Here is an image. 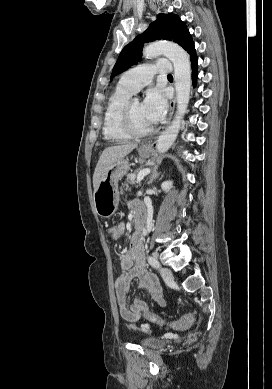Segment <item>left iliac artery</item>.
Instances as JSON below:
<instances>
[{"label":"left iliac artery","mask_w":272,"mask_h":389,"mask_svg":"<svg viewBox=\"0 0 272 389\" xmlns=\"http://www.w3.org/2000/svg\"><path fill=\"white\" fill-rule=\"evenodd\" d=\"M148 262H149V264L152 267H155V268H159L160 267V264H159L158 260L155 257H153V256H149L148 257Z\"/></svg>","instance_id":"obj_1"}]
</instances>
